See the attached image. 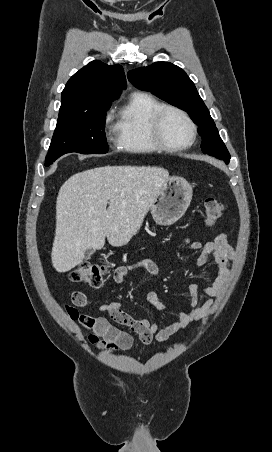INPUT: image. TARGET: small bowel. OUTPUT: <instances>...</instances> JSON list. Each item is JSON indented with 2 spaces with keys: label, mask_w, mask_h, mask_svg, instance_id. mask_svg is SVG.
Segmentation results:
<instances>
[{
  "label": "small bowel",
  "mask_w": 272,
  "mask_h": 452,
  "mask_svg": "<svg viewBox=\"0 0 272 452\" xmlns=\"http://www.w3.org/2000/svg\"><path fill=\"white\" fill-rule=\"evenodd\" d=\"M187 247L200 255L195 260L196 266L204 265L211 259L216 268V276L211 285L190 286L191 302L187 310L177 314L172 323L160 328L158 323H152L148 318L134 319L122 307L120 302H110L96 304L95 307L106 314L117 326L126 327L131 332L136 333L143 344H150L152 341L164 342L187 328L192 322L204 319L210 312L216 299H218L225 289L229 277L230 267L235 259L236 252L229 243L228 236L221 233L213 241L201 243L189 238L184 239ZM146 272L152 276L159 274L158 265L151 259H141L118 266L114 271L116 283H123L125 279L133 273ZM200 296L207 299L201 302ZM147 299L162 310L163 305L155 292H150ZM72 301L76 306L88 307L92 305L89 297L80 291L72 294ZM69 316L78 321L86 330L90 331L89 341L107 349L127 350L132 346L133 340L128 331L111 325L105 317H95L88 314H80L72 306H66Z\"/></svg>",
  "instance_id": "small-bowel-1"
}]
</instances>
